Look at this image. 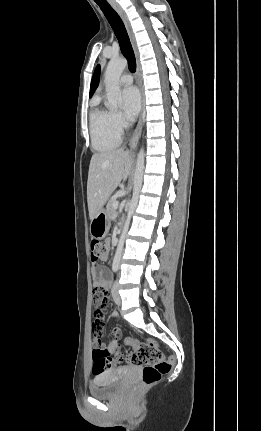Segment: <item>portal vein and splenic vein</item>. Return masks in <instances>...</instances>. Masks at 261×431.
I'll use <instances>...</instances> for the list:
<instances>
[{
	"mask_svg": "<svg viewBox=\"0 0 261 431\" xmlns=\"http://www.w3.org/2000/svg\"><path fill=\"white\" fill-rule=\"evenodd\" d=\"M113 207H114L115 209H117V208H118V202H115V203L113 204Z\"/></svg>",
	"mask_w": 261,
	"mask_h": 431,
	"instance_id": "18ae733b",
	"label": "portal vein and splenic vein"
}]
</instances>
